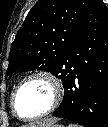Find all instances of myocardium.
Returning a JSON list of instances; mask_svg holds the SVG:
<instances>
[{
    "label": "myocardium",
    "mask_w": 108,
    "mask_h": 127,
    "mask_svg": "<svg viewBox=\"0 0 108 127\" xmlns=\"http://www.w3.org/2000/svg\"><path fill=\"white\" fill-rule=\"evenodd\" d=\"M35 79L44 80L50 86L51 91H52V100H51L49 107L42 113L35 115V116H31V117H23L18 113V111L16 109L15 99H16V96H17L18 92L20 91V89L26 83H28L31 80H35ZM62 98H63V87H62L61 81L54 74H52L49 71L38 70V71H34V72L26 75L17 84V86L15 87V89L11 95V108H12L14 115H16L19 119L24 120V121H34V120L43 118V117L51 114L52 112H54L60 105Z\"/></svg>",
    "instance_id": "myocardium-1"
}]
</instances>
